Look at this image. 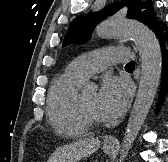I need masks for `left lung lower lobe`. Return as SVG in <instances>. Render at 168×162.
<instances>
[{
    "label": "left lung lower lobe",
    "mask_w": 168,
    "mask_h": 162,
    "mask_svg": "<svg viewBox=\"0 0 168 162\" xmlns=\"http://www.w3.org/2000/svg\"><path fill=\"white\" fill-rule=\"evenodd\" d=\"M156 35L160 42V46L162 48V56H163V69H162V86L161 89L163 91H167L168 89V56L167 51L165 49L164 41L168 40V29L166 25H162L161 21H155L151 25L148 26ZM163 30H166V33H164ZM163 96H159V102L158 105H160V102L162 101Z\"/></svg>",
    "instance_id": "obj_1"
}]
</instances>
